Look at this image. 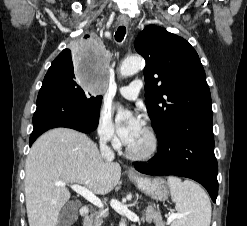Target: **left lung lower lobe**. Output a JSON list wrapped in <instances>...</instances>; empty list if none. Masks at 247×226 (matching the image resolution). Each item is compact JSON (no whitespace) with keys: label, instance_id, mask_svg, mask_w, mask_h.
Returning <instances> with one entry per match:
<instances>
[{"label":"left lung lower lobe","instance_id":"0a47b994","mask_svg":"<svg viewBox=\"0 0 247 226\" xmlns=\"http://www.w3.org/2000/svg\"><path fill=\"white\" fill-rule=\"evenodd\" d=\"M212 111L196 112L158 137L159 148L151 162H137L135 169L148 175H176L193 179L209 192L218 193V165L214 155Z\"/></svg>","mask_w":247,"mask_h":226}]
</instances>
